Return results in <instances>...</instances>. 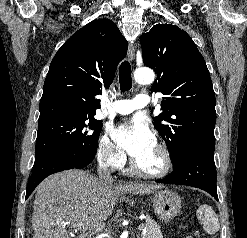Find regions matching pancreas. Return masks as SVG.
<instances>
[{"label":"pancreas","mask_w":247,"mask_h":238,"mask_svg":"<svg viewBox=\"0 0 247 238\" xmlns=\"http://www.w3.org/2000/svg\"><path fill=\"white\" fill-rule=\"evenodd\" d=\"M144 229L145 232L142 238H163L159 225L151 218L146 219Z\"/></svg>","instance_id":"1"}]
</instances>
